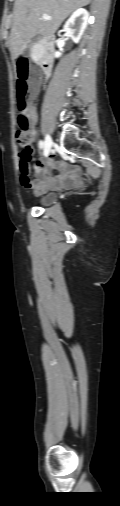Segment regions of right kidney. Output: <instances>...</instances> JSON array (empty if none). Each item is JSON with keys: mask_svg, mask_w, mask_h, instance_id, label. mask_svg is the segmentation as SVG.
Returning <instances> with one entry per match:
<instances>
[{"mask_svg": "<svg viewBox=\"0 0 120 506\" xmlns=\"http://www.w3.org/2000/svg\"><path fill=\"white\" fill-rule=\"evenodd\" d=\"M89 13L83 8L75 10L70 18L65 23L62 32L67 37H70L75 43H78L82 37L85 28L87 27ZM62 55L61 52H56L55 57L58 58Z\"/></svg>", "mask_w": 120, "mask_h": 506, "instance_id": "obj_1", "label": "right kidney"}]
</instances>
